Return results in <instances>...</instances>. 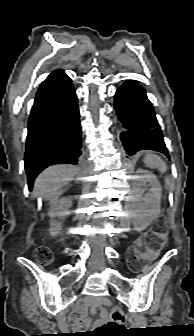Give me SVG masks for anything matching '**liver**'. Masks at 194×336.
<instances>
[{"mask_svg":"<svg viewBox=\"0 0 194 336\" xmlns=\"http://www.w3.org/2000/svg\"><path fill=\"white\" fill-rule=\"evenodd\" d=\"M78 169L67 165H54L45 169L35 180L34 195L51 199L68 182L74 180Z\"/></svg>","mask_w":194,"mask_h":336,"instance_id":"obj_1","label":"liver"}]
</instances>
